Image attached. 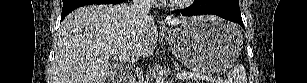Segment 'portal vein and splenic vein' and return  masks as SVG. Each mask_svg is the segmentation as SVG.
<instances>
[{"label":"portal vein and splenic vein","instance_id":"obj_1","mask_svg":"<svg viewBox=\"0 0 307 83\" xmlns=\"http://www.w3.org/2000/svg\"><path fill=\"white\" fill-rule=\"evenodd\" d=\"M115 52H116L115 50H108V51L105 52V54L111 55V54H113ZM176 77L178 79H186L188 77H191V78L196 77V78H199L201 80H207V81H211L212 80V78L210 76H208V75H199V74H195V75L194 74H189L188 75L186 73H177Z\"/></svg>","mask_w":307,"mask_h":83}]
</instances>
